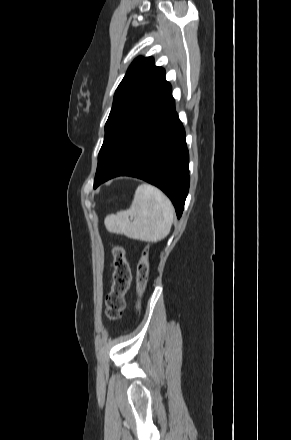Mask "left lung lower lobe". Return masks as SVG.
<instances>
[{
  "mask_svg": "<svg viewBox=\"0 0 291 440\" xmlns=\"http://www.w3.org/2000/svg\"><path fill=\"white\" fill-rule=\"evenodd\" d=\"M188 164L185 131L169 84L112 146L94 188L117 176L143 179L167 194L180 218L189 189Z\"/></svg>",
  "mask_w": 291,
  "mask_h": 440,
  "instance_id": "0a47b994",
  "label": "left lung lower lobe"
}]
</instances>
